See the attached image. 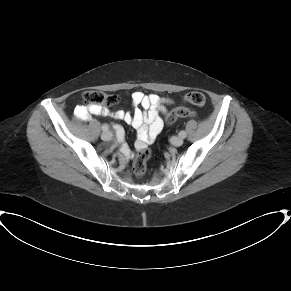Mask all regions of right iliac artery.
I'll use <instances>...</instances> for the list:
<instances>
[{
    "instance_id": "obj_1",
    "label": "right iliac artery",
    "mask_w": 291,
    "mask_h": 291,
    "mask_svg": "<svg viewBox=\"0 0 291 291\" xmlns=\"http://www.w3.org/2000/svg\"><path fill=\"white\" fill-rule=\"evenodd\" d=\"M102 130L105 132L108 131V126L106 124L102 125Z\"/></svg>"
}]
</instances>
